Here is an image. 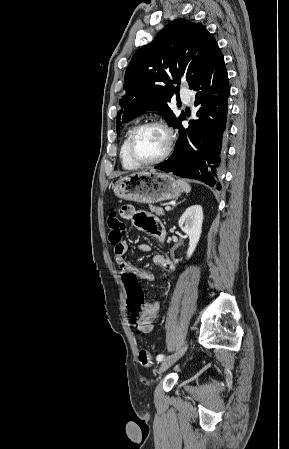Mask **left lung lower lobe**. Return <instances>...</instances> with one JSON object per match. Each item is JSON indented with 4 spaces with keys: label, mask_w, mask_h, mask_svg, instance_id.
<instances>
[{
    "label": "left lung lower lobe",
    "mask_w": 289,
    "mask_h": 449,
    "mask_svg": "<svg viewBox=\"0 0 289 449\" xmlns=\"http://www.w3.org/2000/svg\"><path fill=\"white\" fill-rule=\"evenodd\" d=\"M189 87L197 92L194 104L199 107L196 113L198 119L191 120L187 129L181 123L184 115L178 120L174 126L179 129L175 150L155 169L197 179L220 190L218 167L228 136L230 88L219 47L209 55Z\"/></svg>",
    "instance_id": "left-lung-lower-lobe-1"
}]
</instances>
